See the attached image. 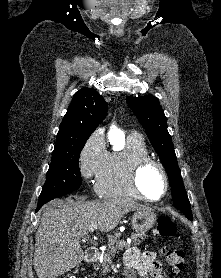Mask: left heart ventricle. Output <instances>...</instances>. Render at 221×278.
I'll return each instance as SVG.
<instances>
[{"label":"left heart ventricle","instance_id":"left-heart-ventricle-1","mask_svg":"<svg viewBox=\"0 0 221 278\" xmlns=\"http://www.w3.org/2000/svg\"><path fill=\"white\" fill-rule=\"evenodd\" d=\"M141 185L150 198H159L164 191V181L160 172L154 167H148L141 176Z\"/></svg>","mask_w":221,"mask_h":278}]
</instances>
